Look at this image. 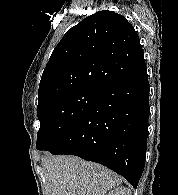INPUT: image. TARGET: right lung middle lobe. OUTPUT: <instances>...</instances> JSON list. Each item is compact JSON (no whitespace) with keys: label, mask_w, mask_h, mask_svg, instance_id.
I'll list each match as a JSON object with an SVG mask.
<instances>
[{"label":"right lung middle lobe","mask_w":178,"mask_h":195,"mask_svg":"<svg viewBox=\"0 0 178 195\" xmlns=\"http://www.w3.org/2000/svg\"><path fill=\"white\" fill-rule=\"evenodd\" d=\"M98 90L80 89L52 96L37 107L36 149L54 150L93 105Z\"/></svg>","instance_id":"dd1d6c3e"}]
</instances>
